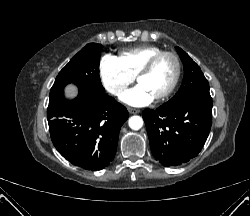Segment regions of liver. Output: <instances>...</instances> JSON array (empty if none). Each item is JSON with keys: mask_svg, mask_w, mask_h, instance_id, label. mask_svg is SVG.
Here are the masks:
<instances>
[{"mask_svg": "<svg viewBox=\"0 0 250 216\" xmlns=\"http://www.w3.org/2000/svg\"><path fill=\"white\" fill-rule=\"evenodd\" d=\"M76 92H77V89H76V87H74V86H69V87L67 88V90H66V93H67V95H69V96L75 95Z\"/></svg>", "mask_w": 250, "mask_h": 216, "instance_id": "1", "label": "liver"}]
</instances>
